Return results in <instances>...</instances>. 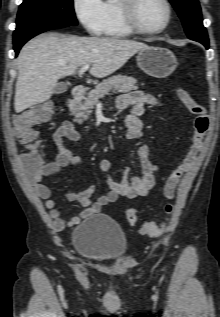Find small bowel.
I'll use <instances>...</instances> for the list:
<instances>
[{
  "label": "small bowel",
  "instance_id": "c3829d8e",
  "mask_svg": "<svg viewBox=\"0 0 220 317\" xmlns=\"http://www.w3.org/2000/svg\"><path fill=\"white\" fill-rule=\"evenodd\" d=\"M118 108L129 109V113L125 119L126 137L128 139H138L142 136V121L140 116L144 111L145 105L160 106L158 99L140 90H134L122 94L117 101ZM54 142L58 149L56 158L52 162L44 163L42 168L35 170L25 162V155L22 154L21 164L27 171L29 183L36 195L44 200L45 207L49 210V217L52 221V226L55 230H61L67 226L78 224L82 219L99 213L102 208L119 199L120 197L136 198L145 196L155 185V172L157 165L150 158V150L147 145L137 147L136 156L140 162V175L128 178L127 170L121 180H115L109 171L112 166L110 159H102L99 162V168L107 173V182L110 190L100 195L96 200L93 195L96 192L95 186H89L81 192L67 190L69 199L80 202L85 208L80 215L65 218L60 209L56 208V202L51 197L50 188L43 183L46 176L57 174L65 167H74L81 164L80 156L73 154L64 145V139L72 142H79L81 136L74 128L70 121H65L54 133Z\"/></svg>",
  "mask_w": 220,
  "mask_h": 317
}]
</instances>
